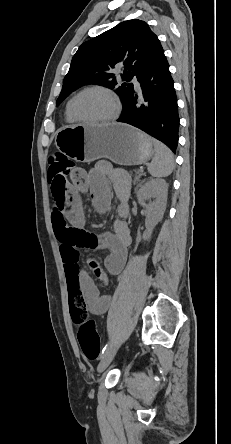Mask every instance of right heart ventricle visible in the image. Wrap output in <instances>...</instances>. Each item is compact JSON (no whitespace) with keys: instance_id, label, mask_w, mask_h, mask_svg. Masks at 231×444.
Returning a JSON list of instances; mask_svg holds the SVG:
<instances>
[{"instance_id":"obj_1","label":"right heart ventricle","mask_w":231,"mask_h":444,"mask_svg":"<svg viewBox=\"0 0 231 444\" xmlns=\"http://www.w3.org/2000/svg\"><path fill=\"white\" fill-rule=\"evenodd\" d=\"M72 98L69 99V101L66 104L65 107V119L68 123H76L77 120L74 118V116L71 113V102H72Z\"/></svg>"}]
</instances>
